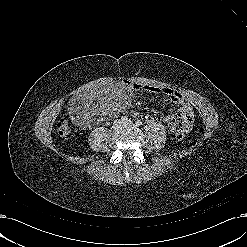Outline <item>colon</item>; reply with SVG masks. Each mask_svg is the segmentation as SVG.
<instances>
[{
  "instance_id": "1",
  "label": "colon",
  "mask_w": 247,
  "mask_h": 247,
  "mask_svg": "<svg viewBox=\"0 0 247 247\" xmlns=\"http://www.w3.org/2000/svg\"><path fill=\"white\" fill-rule=\"evenodd\" d=\"M56 130L59 135L66 136L70 133V125L67 119L60 118L56 123ZM186 131L185 130H176L175 137L177 140L184 138Z\"/></svg>"
}]
</instances>
